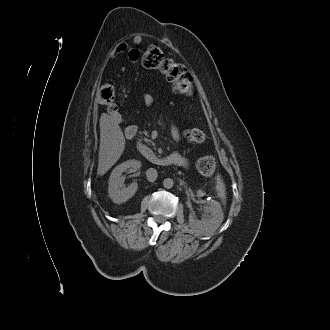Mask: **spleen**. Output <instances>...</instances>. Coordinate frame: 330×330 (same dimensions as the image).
I'll use <instances>...</instances> for the list:
<instances>
[{
    "label": "spleen",
    "instance_id": "spleen-1",
    "mask_svg": "<svg viewBox=\"0 0 330 330\" xmlns=\"http://www.w3.org/2000/svg\"><path fill=\"white\" fill-rule=\"evenodd\" d=\"M216 191L218 192V196L222 199L223 203H225V184L219 175L216 178Z\"/></svg>",
    "mask_w": 330,
    "mask_h": 330
}]
</instances>
